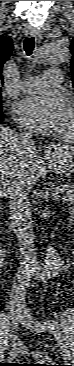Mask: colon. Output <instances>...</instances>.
<instances>
[{"label": "colon", "mask_w": 74, "mask_h": 366, "mask_svg": "<svg viewBox=\"0 0 74 366\" xmlns=\"http://www.w3.org/2000/svg\"><path fill=\"white\" fill-rule=\"evenodd\" d=\"M28 366H49V365L44 362H40V363H35V364H28Z\"/></svg>", "instance_id": "colon-1"}]
</instances>
